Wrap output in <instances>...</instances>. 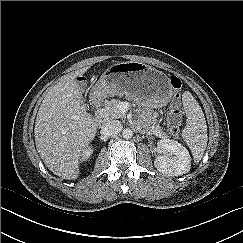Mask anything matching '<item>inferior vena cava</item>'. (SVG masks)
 Returning a JSON list of instances; mask_svg holds the SVG:
<instances>
[{
    "instance_id": "inferior-vena-cava-1",
    "label": "inferior vena cava",
    "mask_w": 243,
    "mask_h": 243,
    "mask_svg": "<svg viewBox=\"0 0 243 243\" xmlns=\"http://www.w3.org/2000/svg\"><path fill=\"white\" fill-rule=\"evenodd\" d=\"M122 128L120 121L111 120L102 125L101 132L105 136H116L122 131Z\"/></svg>"
}]
</instances>
